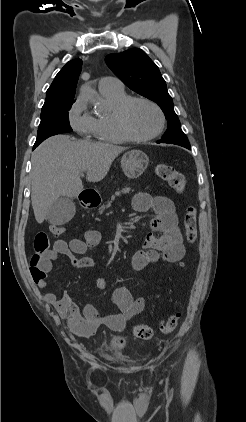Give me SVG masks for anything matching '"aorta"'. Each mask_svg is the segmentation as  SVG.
I'll list each match as a JSON object with an SVG mask.
<instances>
[{"instance_id":"762f6f07","label":"aorta","mask_w":246,"mask_h":422,"mask_svg":"<svg viewBox=\"0 0 246 422\" xmlns=\"http://www.w3.org/2000/svg\"><path fill=\"white\" fill-rule=\"evenodd\" d=\"M82 96L89 102L96 104L98 102V96L97 93L88 87H84L81 90Z\"/></svg>"}]
</instances>
